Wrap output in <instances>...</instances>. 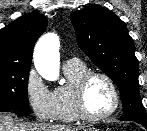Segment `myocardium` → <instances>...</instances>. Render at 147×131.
Segmentation results:
<instances>
[{
  "label": "myocardium",
  "mask_w": 147,
  "mask_h": 131,
  "mask_svg": "<svg viewBox=\"0 0 147 131\" xmlns=\"http://www.w3.org/2000/svg\"><path fill=\"white\" fill-rule=\"evenodd\" d=\"M93 77L103 78L108 83L112 91V95H113L112 107L108 112H106L103 115H92L88 112L86 107V103H85L86 86ZM74 101H75L76 111L81 119L88 122H101L110 118L117 111L120 105V94L116 83L107 73L98 70H88L78 78V80L74 85Z\"/></svg>",
  "instance_id": "myocardium-1"
}]
</instances>
